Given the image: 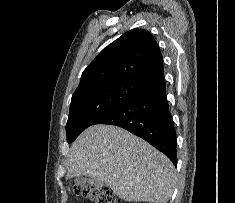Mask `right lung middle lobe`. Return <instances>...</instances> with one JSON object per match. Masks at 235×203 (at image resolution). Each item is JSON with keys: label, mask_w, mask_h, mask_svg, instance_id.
<instances>
[{"label": "right lung middle lobe", "mask_w": 235, "mask_h": 203, "mask_svg": "<svg viewBox=\"0 0 235 203\" xmlns=\"http://www.w3.org/2000/svg\"><path fill=\"white\" fill-rule=\"evenodd\" d=\"M147 86L129 81H109L76 90L72 96L66 124L68 143L73 142L87 127Z\"/></svg>", "instance_id": "obj_1"}]
</instances>
